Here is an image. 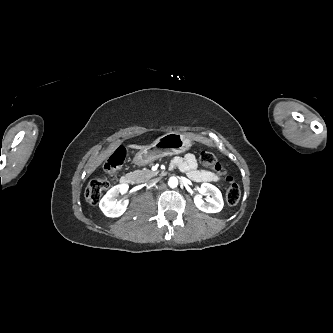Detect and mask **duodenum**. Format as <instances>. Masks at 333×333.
<instances>
[{
	"label": "duodenum",
	"instance_id": "obj_1",
	"mask_svg": "<svg viewBox=\"0 0 333 333\" xmlns=\"http://www.w3.org/2000/svg\"><path fill=\"white\" fill-rule=\"evenodd\" d=\"M134 181H135V176L134 174L131 173H127L120 178V182L122 184H133Z\"/></svg>",
	"mask_w": 333,
	"mask_h": 333
}]
</instances>
